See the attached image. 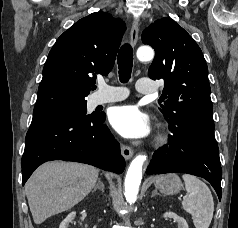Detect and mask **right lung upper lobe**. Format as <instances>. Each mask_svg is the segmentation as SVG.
I'll list each match as a JSON object with an SVG mask.
<instances>
[{
  "mask_svg": "<svg viewBox=\"0 0 238 228\" xmlns=\"http://www.w3.org/2000/svg\"><path fill=\"white\" fill-rule=\"evenodd\" d=\"M124 31L123 20L105 12L92 13L65 31L44 65L34 116L85 102L96 75L112 69Z\"/></svg>",
  "mask_w": 238,
  "mask_h": 228,
  "instance_id": "1",
  "label": "right lung upper lobe"
}]
</instances>
